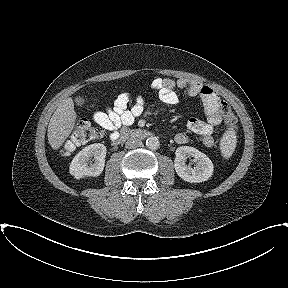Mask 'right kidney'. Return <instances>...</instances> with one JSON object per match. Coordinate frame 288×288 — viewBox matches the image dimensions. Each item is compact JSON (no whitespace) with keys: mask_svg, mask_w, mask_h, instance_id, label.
Masks as SVG:
<instances>
[{"mask_svg":"<svg viewBox=\"0 0 288 288\" xmlns=\"http://www.w3.org/2000/svg\"><path fill=\"white\" fill-rule=\"evenodd\" d=\"M106 146L101 143L91 144L82 149L72 160L69 171L76 179L86 176H99L105 165ZM94 162L88 165L89 160Z\"/></svg>","mask_w":288,"mask_h":288,"instance_id":"1","label":"right kidney"}]
</instances>
